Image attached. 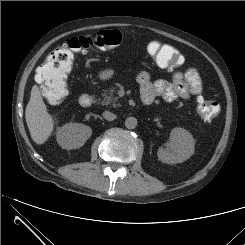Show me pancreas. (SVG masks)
Returning <instances> with one entry per match:
<instances>
[{
  "mask_svg": "<svg viewBox=\"0 0 245 245\" xmlns=\"http://www.w3.org/2000/svg\"><path fill=\"white\" fill-rule=\"evenodd\" d=\"M114 92H115L114 88H110L109 92L105 91L102 94L103 100L101 101V104L102 105H110V104H112L113 107H116L118 104H116L117 97H113Z\"/></svg>",
  "mask_w": 245,
  "mask_h": 245,
  "instance_id": "1",
  "label": "pancreas"
}]
</instances>
